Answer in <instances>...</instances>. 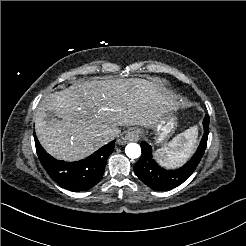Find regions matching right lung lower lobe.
Listing matches in <instances>:
<instances>
[{"label":"right lung lower lobe","mask_w":246,"mask_h":246,"mask_svg":"<svg viewBox=\"0 0 246 246\" xmlns=\"http://www.w3.org/2000/svg\"><path fill=\"white\" fill-rule=\"evenodd\" d=\"M37 155L44 169L60 186L70 191H85L102 178L107 158L114 150L115 140L97 150L86 159L64 162L50 156L35 136Z\"/></svg>","instance_id":"1"}]
</instances>
